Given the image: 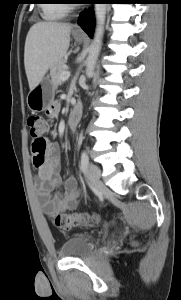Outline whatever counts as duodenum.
<instances>
[{"mask_svg":"<svg viewBox=\"0 0 181 300\" xmlns=\"http://www.w3.org/2000/svg\"><path fill=\"white\" fill-rule=\"evenodd\" d=\"M80 116H81V106L79 103H76L73 106L69 116V127L71 130L76 129L79 123Z\"/></svg>","mask_w":181,"mask_h":300,"instance_id":"obj_1","label":"duodenum"}]
</instances>
